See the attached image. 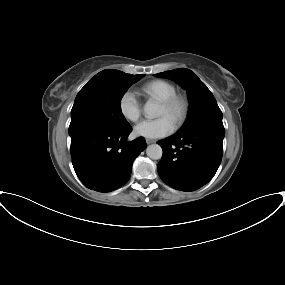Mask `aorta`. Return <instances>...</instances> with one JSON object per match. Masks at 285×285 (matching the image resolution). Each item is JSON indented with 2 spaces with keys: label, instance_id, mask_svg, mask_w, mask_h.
<instances>
[{
  "label": "aorta",
  "instance_id": "1",
  "mask_svg": "<svg viewBox=\"0 0 285 285\" xmlns=\"http://www.w3.org/2000/svg\"><path fill=\"white\" fill-rule=\"evenodd\" d=\"M144 112L148 118L157 117L159 115V106L152 101H147L144 106ZM162 153V148L158 144L149 145L146 149L147 156L153 160L161 159Z\"/></svg>",
  "mask_w": 285,
  "mask_h": 285
}]
</instances>
